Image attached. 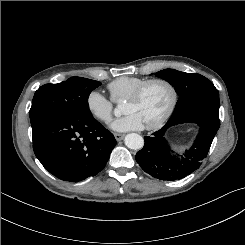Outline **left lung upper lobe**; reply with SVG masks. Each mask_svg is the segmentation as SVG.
I'll list each match as a JSON object with an SVG mask.
<instances>
[{
	"label": "left lung upper lobe",
	"instance_id": "left-lung-upper-lobe-1",
	"mask_svg": "<svg viewBox=\"0 0 245 245\" xmlns=\"http://www.w3.org/2000/svg\"><path fill=\"white\" fill-rule=\"evenodd\" d=\"M155 75L168 81L180 96L171 118L193 106L213 105L219 107L218 90L204 76L174 69H164L156 72Z\"/></svg>",
	"mask_w": 245,
	"mask_h": 245
}]
</instances>
